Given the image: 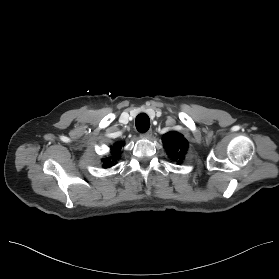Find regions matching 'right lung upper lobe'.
I'll list each match as a JSON object with an SVG mask.
<instances>
[{
	"mask_svg": "<svg viewBox=\"0 0 279 279\" xmlns=\"http://www.w3.org/2000/svg\"><path fill=\"white\" fill-rule=\"evenodd\" d=\"M122 145H123L122 142L116 143L114 147L111 148L112 157L105 158L102 160L105 168L112 167L114 165V162L120 156V149L122 148Z\"/></svg>",
	"mask_w": 279,
	"mask_h": 279,
	"instance_id": "obj_1",
	"label": "right lung upper lobe"
}]
</instances>
